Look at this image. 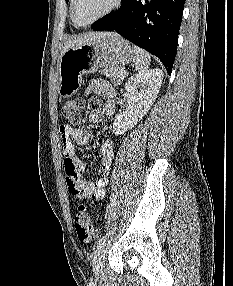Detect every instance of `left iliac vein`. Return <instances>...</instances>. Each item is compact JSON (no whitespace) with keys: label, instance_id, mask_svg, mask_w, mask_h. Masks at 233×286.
I'll return each instance as SVG.
<instances>
[{"label":"left iliac vein","instance_id":"obj_1","mask_svg":"<svg viewBox=\"0 0 233 286\" xmlns=\"http://www.w3.org/2000/svg\"><path fill=\"white\" fill-rule=\"evenodd\" d=\"M106 250L104 245L96 252L93 260V270L96 277L103 274Z\"/></svg>","mask_w":233,"mask_h":286}]
</instances>
